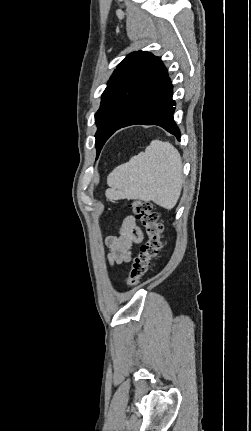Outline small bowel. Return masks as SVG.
I'll return each instance as SVG.
<instances>
[{
	"label": "small bowel",
	"mask_w": 251,
	"mask_h": 431,
	"mask_svg": "<svg viewBox=\"0 0 251 431\" xmlns=\"http://www.w3.org/2000/svg\"><path fill=\"white\" fill-rule=\"evenodd\" d=\"M143 240V232L131 215L125 217L117 235L105 240L108 260L111 265L128 263L132 259L133 248Z\"/></svg>",
	"instance_id": "c3829d8e"
}]
</instances>
